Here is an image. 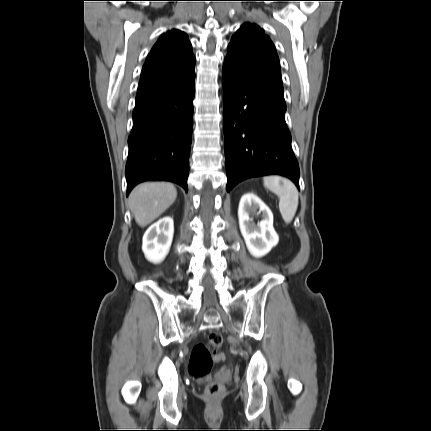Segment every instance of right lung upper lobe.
Here are the masks:
<instances>
[{
  "label": "right lung upper lobe",
  "mask_w": 431,
  "mask_h": 431,
  "mask_svg": "<svg viewBox=\"0 0 431 431\" xmlns=\"http://www.w3.org/2000/svg\"><path fill=\"white\" fill-rule=\"evenodd\" d=\"M195 57L188 36L171 30L150 51L138 85L135 107L162 99L195 78Z\"/></svg>",
  "instance_id": "right-lung-upper-lobe-1"
}]
</instances>
